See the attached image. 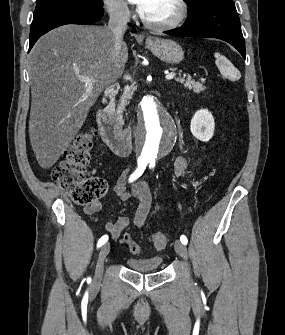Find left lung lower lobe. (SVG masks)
<instances>
[{
  "instance_id": "0a47b994",
  "label": "left lung lower lobe",
  "mask_w": 285,
  "mask_h": 335,
  "mask_svg": "<svg viewBox=\"0 0 285 335\" xmlns=\"http://www.w3.org/2000/svg\"><path fill=\"white\" fill-rule=\"evenodd\" d=\"M173 36L208 37L233 45L245 59V42L233 1L211 0L189 12L183 26L167 32Z\"/></svg>"
}]
</instances>
